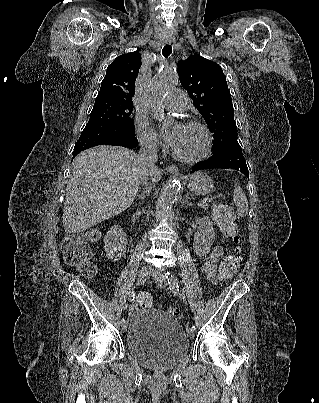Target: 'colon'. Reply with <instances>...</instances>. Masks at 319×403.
I'll list each match as a JSON object with an SVG mask.
<instances>
[{"instance_id":"1","label":"colon","mask_w":319,"mask_h":403,"mask_svg":"<svg viewBox=\"0 0 319 403\" xmlns=\"http://www.w3.org/2000/svg\"><path fill=\"white\" fill-rule=\"evenodd\" d=\"M214 215L223 235L237 245L240 241L239 228L232 210L227 205L220 204L215 208ZM97 238L98 234L93 231H82L67 236L61 246L65 263L77 268L86 277H94L97 273V268L91 259L89 244ZM241 261L242 256L240 249L237 247L221 263L220 273L224 277L234 275ZM136 303L140 308H150L152 298L148 293L141 292L136 297ZM169 312L174 316H180V310L177 307H170Z\"/></svg>"}]
</instances>
